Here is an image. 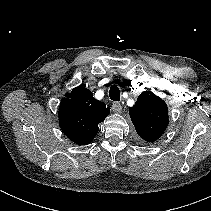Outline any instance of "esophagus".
<instances>
[{"mask_svg":"<svg viewBox=\"0 0 211 211\" xmlns=\"http://www.w3.org/2000/svg\"><path fill=\"white\" fill-rule=\"evenodd\" d=\"M112 110L116 113H120L122 111V106L119 102H113Z\"/></svg>","mask_w":211,"mask_h":211,"instance_id":"obj_1","label":"esophagus"}]
</instances>
